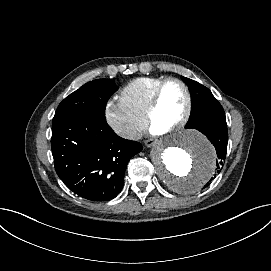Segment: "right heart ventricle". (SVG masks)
I'll return each instance as SVG.
<instances>
[{"label":"right heart ventricle","instance_id":"right-heart-ventricle-1","mask_svg":"<svg viewBox=\"0 0 271 271\" xmlns=\"http://www.w3.org/2000/svg\"><path fill=\"white\" fill-rule=\"evenodd\" d=\"M163 76H144L133 79L121 89V97L135 113L145 116L152 93Z\"/></svg>","mask_w":271,"mask_h":271}]
</instances>
